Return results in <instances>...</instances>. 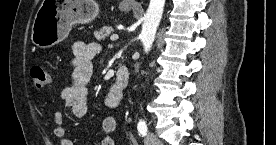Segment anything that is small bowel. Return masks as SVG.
Segmentation results:
<instances>
[{
	"mask_svg": "<svg viewBox=\"0 0 276 145\" xmlns=\"http://www.w3.org/2000/svg\"><path fill=\"white\" fill-rule=\"evenodd\" d=\"M73 59L71 61L72 76L71 83L61 92V100L65 108L71 110L73 116L77 119L85 117L88 111L87 85L93 73L92 60L98 53V48L93 44H84L76 42L72 46ZM123 94L118 93L112 85L110 88L105 104L110 109H115L119 106ZM55 122L54 136L60 139L61 145H73V142L65 136V128L63 126V114L61 111H56L53 115ZM117 128L116 118L108 116L103 121V130L105 137L102 140V145H115L114 140L109 135Z\"/></svg>",
	"mask_w": 276,
	"mask_h": 145,
	"instance_id": "obj_1",
	"label": "small bowel"
}]
</instances>
